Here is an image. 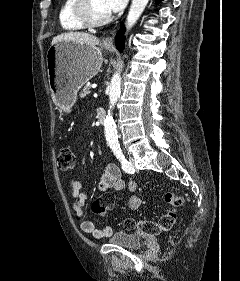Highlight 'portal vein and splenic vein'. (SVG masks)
I'll return each mask as SVG.
<instances>
[{"label": "portal vein and splenic vein", "mask_w": 240, "mask_h": 281, "mask_svg": "<svg viewBox=\"0 0 240 281\" xmlns=\"http://www.w3.org/2000/svg\"><path fill=\"white\" fill-rule=\"evenodd\" d=\"M91 87H92V88H96V85H92Z\"/></svg>", "instance_id": "18ae733b"}]
</instances>
